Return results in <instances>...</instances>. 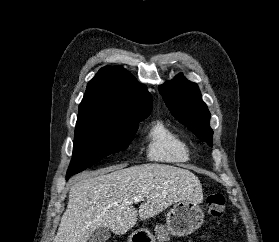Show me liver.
<instances>
[{"instance_id": "obj_1", "label": "liver", "mask_w": 279, "mask_h": 242, "mask_svg": "<svg viewBox=\"0 0 279 242\" xmlns=\"http://www.w3.org/2000/svg\"><path fill=\"white\" fill-rule=\"evenodd\" d=\"M145 199L139 210L133 198ZM181 200L201 203L202 185L189 170L162 164L112 166L75 177L53 242H87L98 228L121 235L138 216L149 219Z\"/></svg>"}]
</instances>
